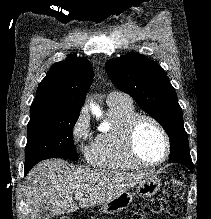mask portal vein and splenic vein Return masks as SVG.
<instances>
[{
    "label": "portal vein and splenic vein",
    "instance_id": "portal-vein-and-splenic-vein-1",
    "mask_svg": "<svg viewBox=\"0 0 211 219\" xmlns=\"http://www.w3.org/2000/svg\"><path fill=\"white\" fill-rule=\"evenodd\" d=\"M82 197H83L82 194H76V195H75V198H77V199H81Z\"/></svg>",
    "mask_w": 211,
    "mask_h": 219
}]
</instances>
